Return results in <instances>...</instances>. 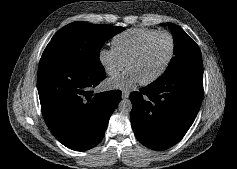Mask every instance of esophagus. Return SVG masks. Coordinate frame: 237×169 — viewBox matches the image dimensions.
I'll list each match as a JSON object with an SVG mask.
<instances>
[{
	"label": "esophagus",
	"mask_w": 237,
	"mask_h": 169,
	"mask_svg": "<svg viewBox=\"0 0 237 169\" xmlns=\"http://www.w3.org/2000/svg\"><path fill=\"white\" fill-rule=\"evenodd\" d=\"M122 99H127L130 96V92L129 91H122Z\"/></svg>",
	"instance_id": "esophagus-1"
}]
</instances>
